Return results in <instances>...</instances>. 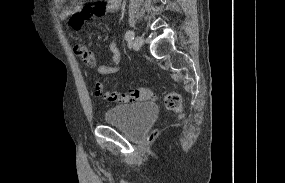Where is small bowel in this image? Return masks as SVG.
I'll return each instance as SVG.
<instances>
[{"mask_svg":"<svg viewBox=\"0 0 285 183\" xmlns=\"http://www.w3.org/2000/svg\"><path fill=\"white\" fill-rule=\"evenodd\" d=\"M57 1L60 5L67 2V0ZM120 4L121 0H106L105 2H99L93 7H79L75 2H70V4L60 13L59 18L62 21H69L74 30H80L91 18L99 17L104 14L116 13ZM109 48L112 54L111 59L103 64H97L94 54L86 45H76L74 52L86 68L94 69L100 75H110L120 71L121 53L114 41L110 43Z\"/></svg>","mask_w":285,"mask_h":183,"instance_id":"1","label":"small bowel"}]
</instances>
